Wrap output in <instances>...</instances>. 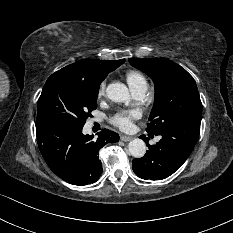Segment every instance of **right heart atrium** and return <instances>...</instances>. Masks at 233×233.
Masks as SVG:
<instances>
[{
	"instance_id": "d8ad5b80",
	"label": "right heart atrium",
	"mask_w": 233,
	"mask_h": 233,
	"mask_svg": "<svg viewBox=\"0 0 233 233\" xmlns=\"http://www.w3.org/2000/svg\"><path fill=\"white\" fill-rule=\"evenodd\" d=\"M105 87H106L105 82H101L99 85V88H98V96L99 97H102L105 94Z\"/></svg>"
}]
</instances>
